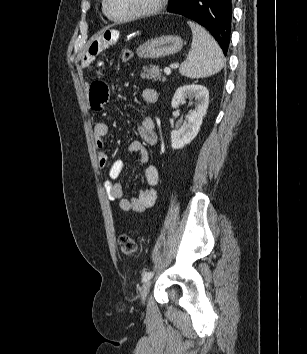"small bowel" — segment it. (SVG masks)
<instances>
[{
  "mask_svg": "<svg viewBox=\"0 0 307 354\" xmlns=\"http://www.w3.org/2000/svg\"><path fill=\"white\" fill-rule=\"evenodd\" d=\"M119 39V32L115 29L105 31L102 36L93 41L86 49L82 59L81 67H90L97 54L104 49L105 46L115 44ZM87 92L91 105L94 109H100L107 100L108 89L104 82L95 81L91 85L87 84ZM141 99L146 104H153L158 99V94L153 89H145L141 93ZM139 134L141 141H133L129 150L131 152H139L141 154V161L147 163L149 159L148 152L144 146L154 145L158 141V134L156 130V124L152 116L146 115L142 118L139 125ZM109 131L108 125L105 122H97L93 128L94 140L98 151V161L101 167H105L108 161L106 148L104 144V138ZM125 163L123 160H115L109 168L110 180H107L104 184L108 198L110 200H117L119 207L122 211H134L144 212L148 208L152 207L157 199L156 186L159 183V172L156 166L148 165L145 168V179L148 184V188L140 191L139 195L135 198H126L123 194L122 178L124 175Z\"/></svg>",
  "mask_w": 307,
  "mask_h": 354,
  "instance_id": "obj_1",
  "label": "small bowel"
}]
</instances>
